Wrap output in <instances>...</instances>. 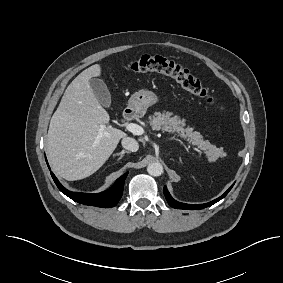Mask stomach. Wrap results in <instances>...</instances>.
<instances>
[{
    "instance_id": "obj_1",
    "label": "stomach",
    "mask_w": 283,
    "mask_h": 283,
    "mask_svg": "<svg viewBox=\"0 0 283 283\" xmlns=\"http://www.w3.org/2000/svg\"><path fill=\"white\" fill-rule=\"evenodd\" d=\"M158 102V96L151 90L135 92L129 99L128 107L138 115H144L147 109Z\"/></svg>"
}]
</instances>
